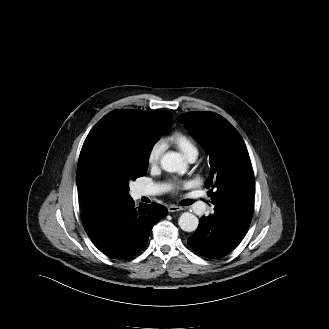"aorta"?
<instances>
[{"label": "aorta", "instance_id": "aorta-1", "mask_svg": "<svg viewBox=\"0 0 329 329\" xmlns=\"http://www.w3.org/2000/svg\"><path fill=\"white\" fill-rule=\"evenodd\" d=\"M161 166L167 172L185 173L187 170V163L183 156L178 152H167L161 158ZM199 224L198 218L189 212L181 214L178 220L179 227L185 232H193L197 229Z\"/></svg>", "mask_w": 329, "mask_h": 329}]
</instances>
